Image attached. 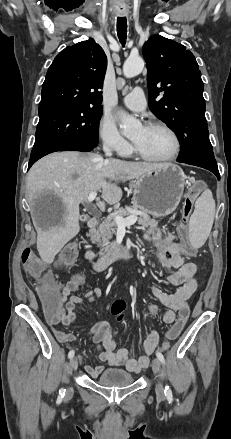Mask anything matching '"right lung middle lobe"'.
Listing matches in <instances>:
<instances>
[{
  "label": "right lung middle lobe",
  "mask_w": 231,
  "mask_h": 439,
  "mask_svg": "<svg viewBox=\"0 0 231 439\" xmlns=\"http://www.w3.org/2000/svg\"><path fill=\"white\" fill-rule=\"evenodd\" d=\"M102 112V108L80 107L40 117L33 148L61 143H81L96 147Z\"/></svg>",
  "instance_id": "dd1d6c3e"
}]
</instances>
